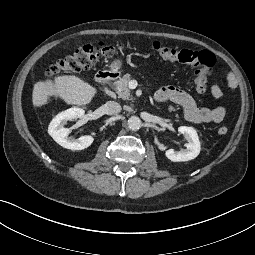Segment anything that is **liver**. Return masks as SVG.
Listing matches in <instances>:
<instances>
[{"instance_id": "obj_1", "label": "liver", "mask_w": 255, "mask_h": 255, "mask_svg": "<svg viewBox=\"0 0 255 255\" xmlns=\"http://www.w3.org/2000/svg\"><path fill=\"white\" fill-rule=\"evenodd\" d=\"M97 90L89 83L73 75L57 76L52 80L38 81L32 91V104L41 107L50 97L60 98L67 104L86 105L91 102Z\"/></svg>"}]
</instances>
